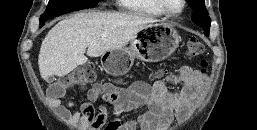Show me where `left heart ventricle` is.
<instances>
[{"label": "left heart ventricle", "instance_id": "b2bd125f", "mask_svg": "<svg viewBox=\"0 0 257 130\" xmlns=\"http://www.w3.org/2000/svg\"><path fill=\"white\" fill-rule=\"evenodd\" d=\"M164 2L173 11H178L181 8V0H164Z\"/></svg>", "mask_w": 257, "mask_h": 130}]
</instances>
